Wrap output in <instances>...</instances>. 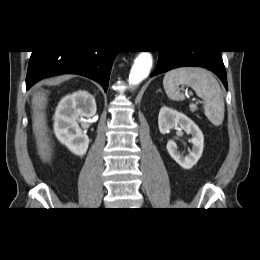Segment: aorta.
I'll return each mask as SVG.
<instances>
[{
    "mask_svg": "<svg viewBox=\"0 0 260 260\" xmlns=\"http://www.w3.org/2000/svg\"><path fill=\"white\" fill-rule=\"evenodd\" d=\"M152 55L150 52H141L135 59L129 75V84L138 85L144 80L152 67Z\"/></svg>",
    "mask_w": 260,
    "mask_h": 260,
    "instance_id": "1",
    "label": "aorta"
}]
</instances>
